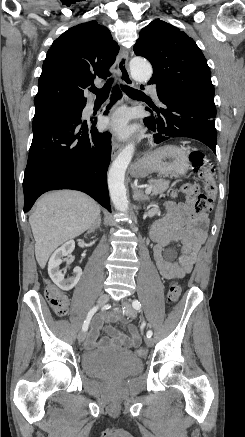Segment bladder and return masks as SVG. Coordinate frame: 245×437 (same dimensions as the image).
<instances>
[{"label":"bladder","mask_w":245,"mask_h":437,"mask_svg":"<svg viewBox=\"0 0 245 437\" xmlns=\"http://www.w3.org/2000/svg\"><path fill=\"white\" fill-rule=\"evenodd\" d=\"M81 366L93 378L125 379L141 371L142 360L125 349H96L83 353Z\"/></svg>","instance_id":"obj_1"}]
</instances>
